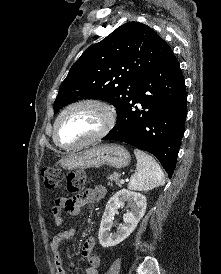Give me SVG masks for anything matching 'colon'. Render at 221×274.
<instances>
[{
    "mask_svg": "<svg viewBox=\"0 0 221 274\" xmlns=\"http://www.w3.org/2000/svg\"><path fill=\"white\" fill-rule=\"evenodd\" d=\"M42 177L46 188L51 190L59 189L64 183V177L60 169L55 167H46L42 170ZM84 175L80 172L68 175L65 185L68 192L78 193L84 185Z\"/></svg>",
    "mask_w": 221,
    "mask_h": 274,
    "instance_id": "colon-1",
    "label": "colon"
}]
</instances>
